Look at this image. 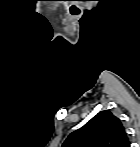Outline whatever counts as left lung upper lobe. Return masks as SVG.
I'll return each mask as SVG.
<instances>
[{
  "label": "left lung upper lobe",
  "mask_w": 140,
  "mask_h": 147,
  "mask_svg": "<svg viewBox=\"0 0 140 147\" xmlns=\"http://www.w3.org/2000/svg\"><path fill=\"white\" fill-rule=\"evenodd\" d=\"M62 147H130V142L120 119L106 110L72 132Z\"/></svg>",
  "instance_id": "5c2ea615"
}]
</instances>
